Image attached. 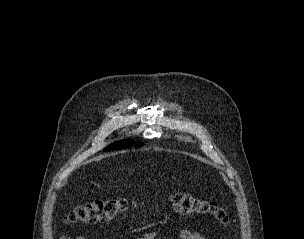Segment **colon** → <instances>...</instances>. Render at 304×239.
I'll return each instance as SVG.
<instances>
[{"mask_svg": "<svg viewBox=\"0 0 304 239\" xmlns=\"http://www.w3.org/2000/svg\"><path fill=\"white\" fill-rule=\"evenodd\" d=\"M173 208L180 214H206L213 216L223 225L229 223L227 213L217 203L186 193L171 196ZM124 198L99 199L77 206L67 216L68 223L93 224L110 220L129 208Z\"/></svg>", "mask_w": 304, "mask_h": 239, "instance_id": "obj_1", "label": "colon"}]
</instances>
